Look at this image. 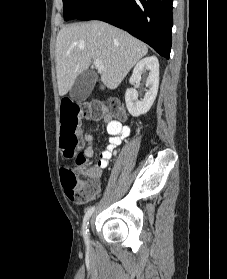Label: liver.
<instances>
[{"instance_id":"6515ba94","label":"liver","mask_w":227,"mask_h":279,"mask_svg":"<svg viewBox=\"0 0 227 279\" xmlns=\"http://www.w3.org/2000/svg\"><path fill=\"white\" fill-rule=\"evenodd\" d=\"M148 52L147 46L126 31L102 21L63 27L56 39V72L59 95L71 90L92 60L99 59L102 83L116 89L132 67Z\"/></svg>"}]
</instances>
